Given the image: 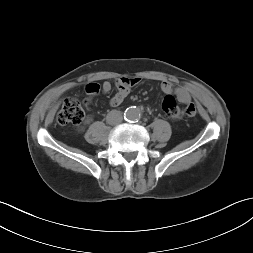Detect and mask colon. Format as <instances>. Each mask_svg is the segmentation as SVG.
<instances>
[{
	"mask_svg": "<svg viewBox=\"0 0 253 253\" xmlns=\"http://www.w3.org/2000/svg\"><path fill=\"white\" fill-rule=\"evenodd\" d=\"M84 103L76 97L65 99L57 116L58 122L61 125L79 124L84 118ZM162 110L165 117L172 121H179L183 118L181 116V108L176 99L171 95H167L163 99Z\"/></svg>",
	"mask_w": 253,
	"mask_h": 253,
	"instance_id": "colon-1",
	"label": "colon"
}]
</instances>
